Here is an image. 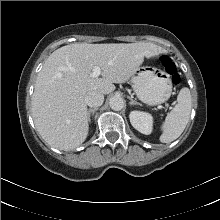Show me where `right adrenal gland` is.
Listing matches in <instances>:
<instances>
[{"instance_id": "1", "label": "right adrenal gland", "mask_w": 220, "mask_h": 220, "mask_svg": "<svg viewBox=\"0 0 220 220\" xmlns=\"http://www.w3.org/2000/svg\"><path fill=\"white\" fill-rule=\"evenodd\" d=\"M98 108H92V109H89L88 112H87V118L88 120L90 121V116H91V113L92 115L94 114L95 111H97Z\"/></svg>"}]
</instances>
